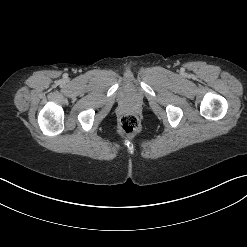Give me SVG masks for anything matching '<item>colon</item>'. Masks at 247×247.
Instances as JSON below:
<instances>
[{
    "instance_id": "1",
    "label": "colon",
    "mask_w": 247,
    "mask_h": 247,
    "mask_svg": "<svg viewBox=\"0 0 247 247\" xmlns=\"http://www.w3.org/2000/svg\"><path fill=\"white\" fill-rule=\"evenodd\" d=\"M118 125L123 134L132 135L140 129V120L135 113L127 112L120 117Z\"/></svg>"
}]
</instances>
